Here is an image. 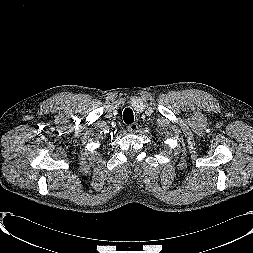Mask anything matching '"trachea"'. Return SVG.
I'll return each instance as SVG.
<instances>
[{"label": "trachea", "instance_id": "3493384b", "mask_svg": "<svg viewBox=\"0 0 253 253\" xmlns=\"http://www.w3.org/2000/svg\"><path fill=\"white\" fill-rule=\"evenodd\" d=\"M124 122L131 124L134 122L133 111L130 108H126L123 113Z\"/></svg>", "mask_w": 253, "mask_h": 253}]
</instances>
